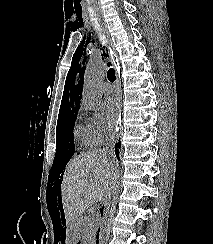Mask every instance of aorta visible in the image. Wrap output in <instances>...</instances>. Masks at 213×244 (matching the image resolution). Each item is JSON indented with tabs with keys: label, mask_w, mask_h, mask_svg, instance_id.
I'll return each mask as SVG.
<instances>
[{
	"label": "aorta",
	"mask_w": 213,
	"mask_h": 244,
	"mask_svg": "<svg viewBox=\"0 0 213 244\" xmlns=\"http://www.w3.org/2000/svg\"><path fill=\"white\" fill-rule=\"evenodd\" d=\"M106 64L101 60L89 63L84 75L83 102L91 109L97 110L102 103V93L98 87L106 74Z\"/></svg>",
	"instance_id": "obj_1"
}]
</instances>
